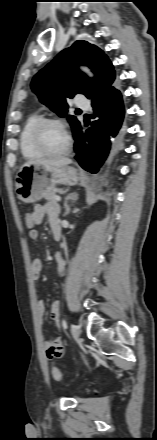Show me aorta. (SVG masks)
<instances>
[{"mask_svg":"<svg viewBox=\"0 0 157 440\" xmlns=\"http://www.w3.org/2000/svg\"><path fill=\"white\" fill-rule=\"evenodd\" d=\"M81 70H82L83 72H85L86 74H88L90 77H93V74H92V72L90 71L89 68L82 66V67H81Z\"/></svg>","mask_w":157,"mask_h":440,"instance_id":"aorta-1","label":"aorta"}]
</instances>
